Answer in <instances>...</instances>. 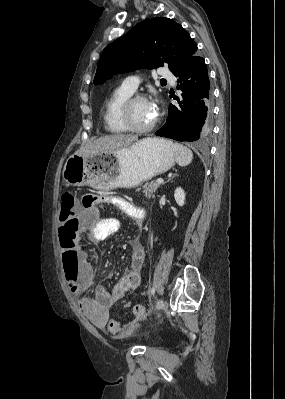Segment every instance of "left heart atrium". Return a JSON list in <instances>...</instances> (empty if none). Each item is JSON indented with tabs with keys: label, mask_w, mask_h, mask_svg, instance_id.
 Instances as JSON below:
<instances>
[{
	"label": "left heart atrium",
	"mask_w": 285,
	"mask_h": 399,
	"mask_svg": "<svg viewBox=\"0 0 285 399\" xmlns=\"http://www.w3.org/2000/svg\"><path fill=\"white\" fill-rule=\"evenodd\" d=\"M149 103H150V106H151V109H152L153 113L155 115H157V106H156V104L154 102H149Z\"/></svg>",
	"instance_id": "1"
}]
</instances>
